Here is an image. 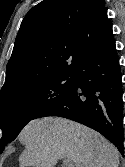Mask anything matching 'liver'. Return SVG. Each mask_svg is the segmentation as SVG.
Instances as JSON below:
<instances>
[{
  "instance_id": "obj_1",
  "label": "liver",
  "mask_w": 125,
  "mask_h": 167,
  "mask_svg": "<svg viewBox=\"0 0 125 167\" xmlns=\"http://www.w3.org/2000/svg\"><path fill=\"white\" fill-rule=\"evenodd\" d=\"M25 149L20 167H54L69 159L73 167H118L117 148L98 132L80 123L61 118L32 120L19 135Z\"/></svg>"
}]
</instances>
